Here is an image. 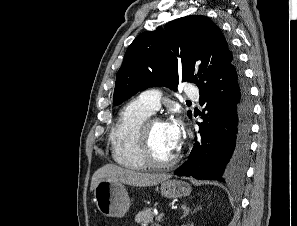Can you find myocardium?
<instances>
[{
  "mask_svg": "<svg viewBox=\"0 0 297 226\" xmlns=\"http://www.w3.org/2000/svg\"><path fill=\"white\" fill-rule=\"evenodd\" d=\"M155 123H163L159 117H148L141 124L138 131V145L141 156L148 166L154 168H167L175 165L180 159V152L176 151L175 154L166 160H159L152 152L150 144V131Z\"/></svg>",
  "mask_w": 297,
  "mask_h": 226,
  "instance_id": "myocardium-1",
  "label": "myocardium"
}]
</instances>
